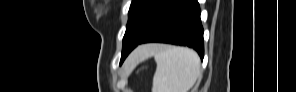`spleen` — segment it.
Segmentation results:
<instances>
[{
	"mask_svg": "<svg viewBox=\"0 0 296 92\" xmlns=\"http://www.w3.org/2000/svg\"><path fill=\"white\" fill-rule=\"evenodd\" d=\"M143 47L146 48L139 52L140 57L154 56L157 65L152 92H189L201 71L200 58L195 51L170 45Z\"/></svg>",
	"mask_w": 296,
	"mask_h": 92,
	"instance_id": "3e777b00",
	"label": "spleen"
}]
</instances>
